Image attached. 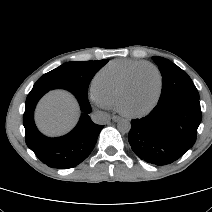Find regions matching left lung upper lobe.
<instances>
[{
	"instance_id": "obj_1",
	"label": "left lung upper lobe",
	"mask_w": 212,
	"mask_h": 212,
	"mask_svg": "<svg viewBox=\"0 0 212 212\" xmlns=\"http://www.w3.org/2000/svg\"><path fill=\"white\" fill-rule=\"evenodd\" d=\"M152 59L158 65L163 77L159 101L175 96H189L199 99L198 91L185 71L163 57L153 56Z\"/></svg>"
}]
</instances>
